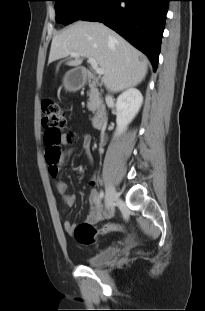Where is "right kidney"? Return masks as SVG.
Masks as SVG:
<instances>
[{
  "label": "right kidney",
  "instance_id": "obj_1",
  "mask_svg": "<svg viewBox=\"0 0 205 311\" xmlns=\"http://www.w3.org/2000/svg\"><path fill=\"white\" fill-rule=\"evenodd\" d=\"M142 102L143 96L136 88H129L119 95L116 102V134L120 135L126 130L127 125L138 113Z\"/></svg>",
  "mask_w": 205,
  "mask_h": 311
}]
</instances>
